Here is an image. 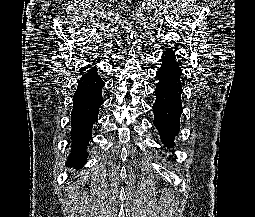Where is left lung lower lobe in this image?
Here are the masks:
<instances>
[{
    "label": "left lung lower lobe",
    "instance_id": "0a47b994",
    "mask_svg": "<svg viewBox=\"0 0 255 217\" xmlns=\"http://www.w3.org/2000/svg\"><path fill=\"white\" fill-rule=\"evenodd\" d=\"M182 70L176 60L175 52L167 49L162 55V65L157 71L159 79L155 90L156 101L153 105L154 126L161 141L167 146H174L173 139L179 133L182 113Z\"/></svg>",
    "mask_w": 255,
    "mask_h": 217
}]
</instances>
